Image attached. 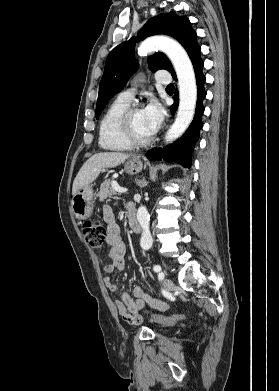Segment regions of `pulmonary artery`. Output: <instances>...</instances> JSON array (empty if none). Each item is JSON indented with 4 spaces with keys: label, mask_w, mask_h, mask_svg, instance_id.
<instances>
[{
    "label": "pulmonary artery",
    "mask_w": 279,
    "mask_h": 391,
    "mask_svg": "<svg viewBox=\"0 0 279 391\" xmlns=\"http://www.w3.org/2000/svg\"><path fill=\"white\" fill-rule=\"evenodd\" d=\"M155 79H156L157 83L168 84L171 81V76L167 72H159L156 75ZM119 96L124 98V99H127V100L131 101L133 99V97H134V91L133 90H127V91L122 92Z\"/></svg>",
    "instance_id": "pulmonary-artery-1"
}]
</instances>
